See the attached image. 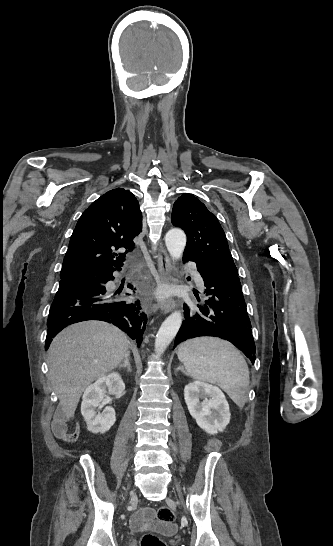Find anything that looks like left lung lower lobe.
Segmentation results:
<instances>
[{
    "label": "left lung lower lobe",
    "mask_w": 333,
    "mask_h": 546,
    "mask_svg": "<svg viewBox=\"0 0 333 546\" xmlns=\"http://www.w3.org/2000/svg\"><path fill=\"white\" fill-rule=\"evenodd\" d=\"M183 261L196 263L208 299L184 307L185 319L174 348L189 338L215 336L234 344L254 363L255 343L238 275L216 274L190 254H183Z\"/></svg>",
    "instance_id": "obj_1"
}]
</instances>
